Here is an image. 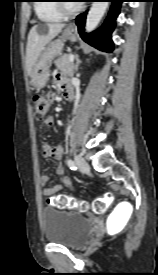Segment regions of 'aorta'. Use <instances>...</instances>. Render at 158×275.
<instances>
[{"instance_id": "obj_1", "label": "aorta", "mask_w": 158, "mask_h": 275, "mask_svg": "<svg viewBox=\"0 0 158 275\" xmlns=\"http://www.w3.org/2000/svg\"><path fill=\"white\" fill-rule=\"evenodd\" d=\"M108 8V2H93L86 19L85 29L87 32L93 31Z\"/></svg>"}]
</instances>
